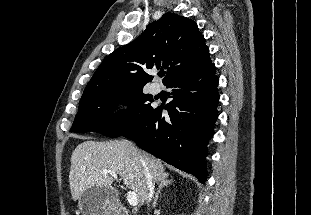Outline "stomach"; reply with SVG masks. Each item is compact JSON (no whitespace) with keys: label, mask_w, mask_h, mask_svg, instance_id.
Segmentation results:
<instances>
[{"label":"stomach","mask_w":311,"mask_h":215,"mask_svg":"<svg viewBox=\"0 0 311 215\" xmlns=\"http://www.w3.org/2000/svg\"><path fill=\"white\" fill-rule=\"evenodd\" d=\"M78 206L82 215H115L118 209L114 189L99 186L86 189Z\"/></svg>","instance_id":"1"}]
</instances>
